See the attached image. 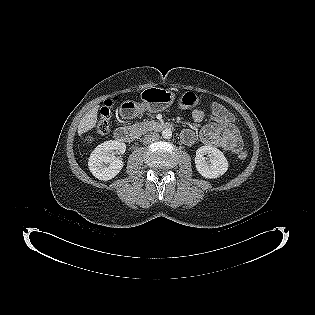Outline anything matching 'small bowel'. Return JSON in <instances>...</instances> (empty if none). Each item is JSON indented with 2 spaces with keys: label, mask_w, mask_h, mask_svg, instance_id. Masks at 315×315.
<instances>
[{
  "label": "small bowel",
  "mask_w": 315,
  "mask_h": 315,
  "mask_svg": "<svg viewBox=\"0 0 315 315\" xmlns=\"http://www.w3.org/2000/svg\"><path fill=\"white\" fill-rule=\"evenodd\" d=\"M192 118L195 122L209 119V123L205 124L199 132V139L202 143L233 153L241 150L242 139L235 125V118L221 104L211 103L208 111L194 109ZM196 138V133L191 129H185L181 133V139L186 145L194 144Z\"/></svg>",
  "instance_id": "1"
}]
</instances>
